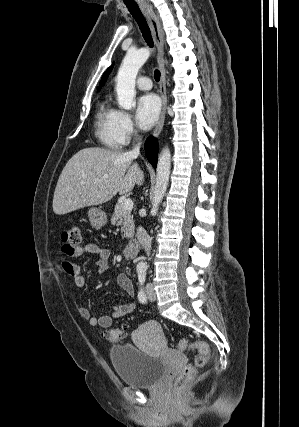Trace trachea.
<instances>
[{"label": "trachea", "mask_w": 299, "mask_h": 427, "mask_svg": "<svg viewBox=\"0 0 299 427\" xmlns=\"http://www.w3.org/2000/svg\"><path fill=\"white\" fill-rule=\"evenodd\" d=\"M126 7L128 8L130 14L133 16L135 21L137 22V24L141 30L142 36H143L145 42L147 43V45L149 47H153V40H152V36H151L149 26L146 22V19L143 16L142 12L140 11L138 5L137 4H126ZM160 76H161L160 71L155 70L154 79L157 82L160 80Z\"/></svg>", "instance_id": "3493384b"}]
</instances>
